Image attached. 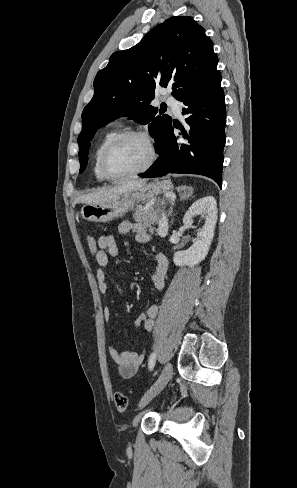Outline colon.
<instances>
[{
  "instance_id": "colon-1",
  "label": "colon",
  "mask_w": 297,
  "mask_h": 488,
  "mask_svg": "<svg viewBox=\"0 0 297 488\" xmlns=\"http://www.w3.org/2000/svg\"><path fill=\"white\" fill-rule=\"evenodd\" d=\"M87 245L90 253L95 256V254L98 252L99 246H98V240L92 236L88 235L87 236ZM114 401L117 409L119 411H124L126 410L128 406V398L127 396L122 393V392H117L114 395Z\"/></svg>"
}]
</instances>
